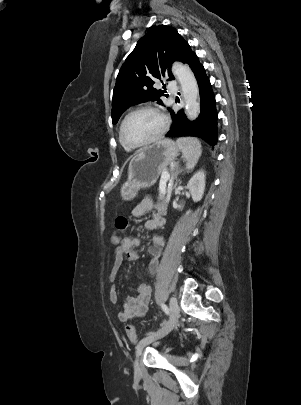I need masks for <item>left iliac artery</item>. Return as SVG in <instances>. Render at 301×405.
<instances>
[{
    "label": "left iliac artery",
    "instance_id": "1",
    "mask_svg": "<svg viewBox=\"0 0 301 405\" xmlns=\"http://www.w3.org/2000/svg\"><path fill=\"white\" fill-rule=\"evenodd\" d=\"M161 307H162V309H163V311L166 313V314H169V309H168V307L165 305V304H161ZM148 334H152V332H149Z\"/></svg>",
    "mask_w": 301,
    "mask_h": 405
}]
</instances>
